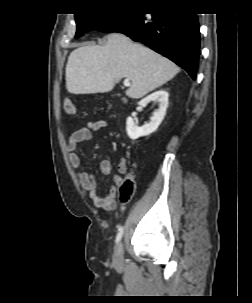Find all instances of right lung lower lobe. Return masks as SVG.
Here are the masks:
<instances>
[{
    "label": "right lung lower lobe",
    "instance_id": "right-lung-lower-lobe-1",
    "mask_svg": "<svg viewBox=\"0 0 252 303\" xmlns=\"http://www.w3.org/2000/svg\"><path fill=\"white\" fill-rule=\"evenodd\" d=\"M98 31L119 32L142 42L184 68L193 80L196 79L200 31L198 17L194 13L165 8L146 14V11L138 9Z\"/></svg>",
    "mask_w": 252,
    "mask_h": 303
}]
</instances>
